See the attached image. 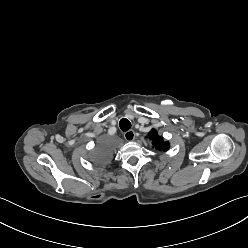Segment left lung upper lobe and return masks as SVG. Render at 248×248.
Here are the masks:
<instances>
[{"label": "left lung upper lobe", "instance_id": "1", "mask_svg": "<svg viewBox=\"0 0 248 248\" xmlns=\"http://www.w3.org/2000/svg\"><path fill=\"white\" fill-rule=\"evenodd\" d=\"M149 138L153 141V145L157 150L166 151L169 148V143L164 142L163 138L158 135L155 129L151 130Z\"/></svg>", "mask_w": 248, "mask_h": 248}]
</instances>
